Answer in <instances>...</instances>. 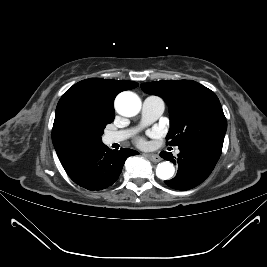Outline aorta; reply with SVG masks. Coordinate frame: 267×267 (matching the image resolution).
<instances>
[{"label": "aorta", "mask_w": 267, "mask_h": 267, "mask_svg": "<svg viewBox=\"0 0 267 267\" xmlns=\"http://www.w3.org/2000/svg\"><path fill=\"white\" fill-rule=\"evenodd\" d=\"M117 112L125 117H132L139 113L141 109V100L133 92H122L115 100ZM175 172L173 164L169 161L161 162L157 165L156 175L162 180L170 179Z\"/></svg>", "instance_id": "762f6f07"}]
</instances>
